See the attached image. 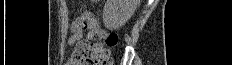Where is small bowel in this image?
Here are the masks:
<instances>
[{
	"label": "small bowel",
	"mask_w": 232,
	"mask_h": 65,
	"mask_svg": "<svg viewBox=\"0 0 232 65\" xmlns=\"http://www.w3.org/2000/svg\"><path fill=\"white\" fill-rule=\"evenodd\" d=\"M85 29H88L90 31V35H93L94 33L103 35L102 31H100L93 23L91 15L82 14L78 19L73 22L71 26L72 34L68 39V44L74 45L77 41L81 40ZM66 65H86L83 58H81V56L78 54L77 46L72 53L70 59L67 61Z\"/></svg>",
	"instance_id": "obj_1"
}]
</instances>
